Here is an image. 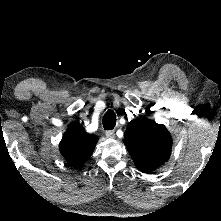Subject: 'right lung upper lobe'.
Here are the masks:
<instances>
[{
    "label": "right lung upper lobe",
    "instance_id": "right-lung-upper-lobe-1",
    "mask_svg": "<svg viewBox=\"0 0 221 221\" xmlns=\"http://www.w3.org/2000/svg\"><path fill=\"white\" fill-rule=\"evenodd\" d=\"M98 137L85 132L80 124H71L65 132L59 149L65 160L79 168L91 157Z\"/></svg>",
    "mask_w": 221,
    "mask_h": 221
}]
</instances>
